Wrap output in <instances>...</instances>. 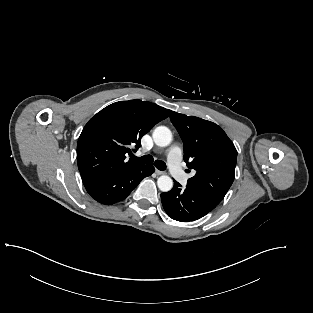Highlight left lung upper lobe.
Returning a JSON list of instances; mask_svg holds the SVG:
<instances>
[{
  "label": "left lung upper lobe",
  "mask_w": 313,
  "mask_h": 313,
  "mask_svg": "<svg viewBox=\"0 0 313 313\" xmlns=\"http://www.w3.org/2000/svg\"><path fill=\"white\" fill-rule=\"evenodd\" d=\"M170 120L184 143V160L196 174L190 187L221 200L234 180L237 150L217 124L170 111Z\"/></svg>",
  "instance_id": "1"
}]
</instances>
